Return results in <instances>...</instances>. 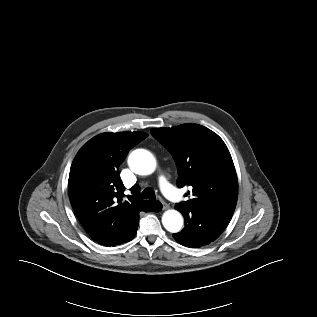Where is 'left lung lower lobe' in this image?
Segmentation results:
<instances>
[{"label":"left lung lower lobe","mask_w":317,"mask_h":317,"mask_svg":"<svg viewBox=\"0 0 317 317\" xmlns=\"http://www.w3.org/2000/svg\"><path fill=\"white\" fill-rule=\"evenodd\" d=\"M178 210V209H177ZM185 219L184 229L173 237L180 244L198 248L215 241L229 224L233 213L212 208L178 210Z\"/></svg>","instance_id":"obj_1"}]
</instances>
